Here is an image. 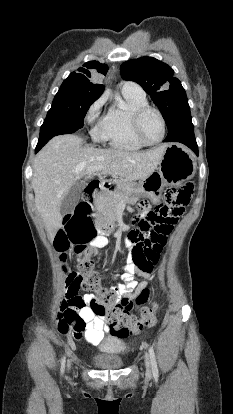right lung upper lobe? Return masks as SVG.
I'll use <instances>...</instances> for the list:
<instances>
[{"mask_svg":"<svg viewBox=\"0 0 233 414\" xmlns=\"http://www.w3.org/2000/svg\"><path fill=\"white\" fill-rule=\"evenodd\" d=\"M83 66L84 68L81 67L78 69L81 73L72 72L62 85L95 93L100 96L104 91V85L96 84L90 79L96 73L106 75L108 71L107 65L96 61H90Z\"/></svg>","mask_w":233,"mask_h":414,"instance_id":"1","label":"right lung upper lobe"}]
</instances>
